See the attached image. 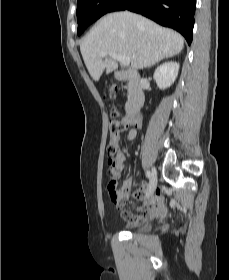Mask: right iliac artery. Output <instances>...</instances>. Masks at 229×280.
I'll return each instance as SVG.
<instances>
[{"label": "right iliac artery", "mask_w": 229, "mask_h": 280, "mask_svg": "<svg viewBox=\"0 0 229 280\" xmlns=\"http://www.w3.org/2000/svg\"><path fill=\"white\" fill-rule=\"evenodd\" d=\"M146 176H147L148 179L151 178V173H150V171H146Z\"/></svg>", "instance_id": "1"}]
</instances>
